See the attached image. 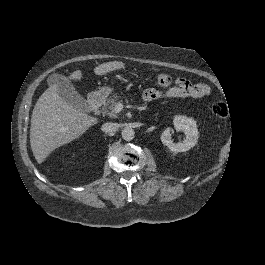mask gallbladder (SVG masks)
<instances>
[{
    "label": "gallbladder",
    "instance_id": "gallbladder-1",
    "mask_svg": "<svg viewBox=\"0 0 265 265\" xmlns=\"http://www.w3.org/2000/svg\"><path fill=\"white\" fill-rule=\"evenodd\" d=\"M47 83L49 86L59 85L58 94L68 104L80 111L91 112V107L87 100L77 92L72 82L68 81L65 76L51 74L48 76Z\"/></svg>",
    "mask_w": 265,
    "mask_h": 265
}]
</instances>
